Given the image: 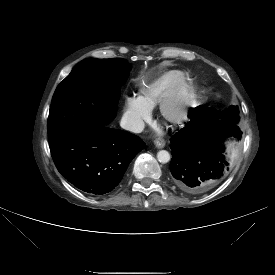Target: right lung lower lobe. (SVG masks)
<instances>
[{"instance_id": "1", "label": "right lung lower lobe", "mask_w": 275, "mask_h": 275, "mask_svg": "<svg viewBox=\"0 0 275 275\" xmlns=\"http://www.w3.org/2000/svg\"><path fill=\"white\" fill-rule=\"evenodd\" d=\"M127 77L113 88L119 95ZM49 144L58 171L78 189L95 195L112 191L145 146L138 136L99 123L60 130L49 136Z\"/></svg>"}]
</instances>
